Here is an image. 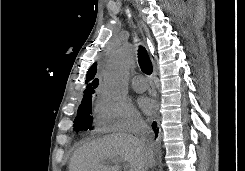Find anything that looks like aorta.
<instances>
[{"instance_id":"1","label":"aorta","mask_w":245,"mask_h":171,"mask_svg":"<svg viewBox=\"0 0 245 171\" xmlns=\"http://www.w3.org/2000/svg\"><path fill=\"white\" fill-rule=\"evenodd\" d=\"M135 61V48L124 44L108 61L103 73V87L114 97H123L128 93V75Z\"/></svg>"}]
</instances>
